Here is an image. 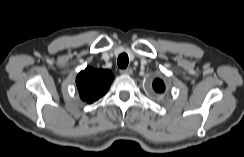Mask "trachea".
<instances>
[{
  "mask_svg": "<svg viewBox=\"0 0 244 157\" xmlns=\"http://www.w3.org/2000/svg\"><path fill=\"white\" fill-rule=\"evenodd\" d=\"M128 62H129V58L126 53H122L119 55L118 60H117L119 68L125 69L128 65Z\"/></svg>",
  "mask_w": 244,
  "mask_h": 157,
  "instance_id": "1",
  "label": "trachea"
}]
</instances>
